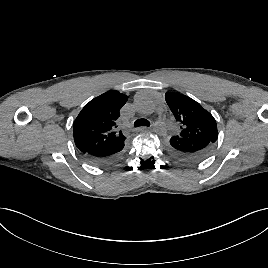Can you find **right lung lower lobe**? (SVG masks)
<instances>
[{"mask_svg":"<svg viewBox=\"0 0 268 268\" xmlns=\"http://www.w3.org/2000/svg\"><path fill=\"white\" fill-rule=\"evenodd\" d=\"M123 148L124 144L109 149H98L88 152L81 151V153L85 158L95 164H109L119 158Z\"/></svg>","mask_w":268,"mask_h":268,"instance_id":"98d812e1","label":"right lung lower lobe"}]
</instances>
